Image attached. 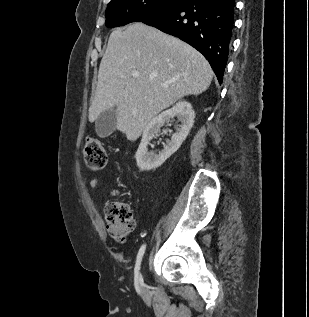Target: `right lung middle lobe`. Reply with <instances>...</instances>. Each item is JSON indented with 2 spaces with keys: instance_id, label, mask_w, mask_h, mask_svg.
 <instances>
[{
  "instance_id": "obj_1",
  "label": "right lung middle lobe",
  "mask_w": 309,
  "mask_h": 317,
  "mask_svg": "<svg viewBox=\"0 0 309 317\" xmlns=\"http://www.w3.org/2000/svg\"><path fill=\"white\" fill-rule=\"evenodd\" d=\"M186 0H111L106 9V27L114 28L134 22L137 18Z\"/></svg>"
}]
</instances>
